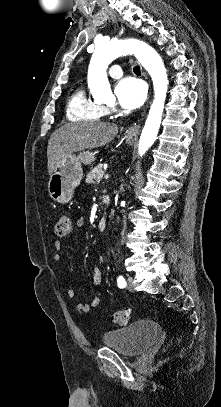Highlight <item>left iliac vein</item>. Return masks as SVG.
Masks as SVG:
<instances>
[{
    "mask_svg": "<svg viewBox=\"0 0 221 407\" xmlns=\"http://www.w3.org/2000/svg\"><path fill=\"white\" fill-rule=\"evenodd\" d=\"M127 289L129 291H134V285H133V277L129 276L127 279Z\"/></svg>",
    "mask_w": 221,
    "mask_h": 407,
    "instance_id": "obj_1",
    "label": "left iliac vein"
}]
</instances>
